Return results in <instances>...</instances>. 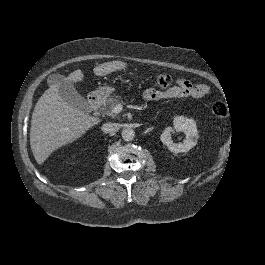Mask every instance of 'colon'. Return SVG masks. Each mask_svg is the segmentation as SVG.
Listing matches in <instances>:
<instances>
[{
  "label": "colon",
  "mask_w": 265,
  "mask_h": 265,
  "mask_svg": "<svg viewBox=\"0 0 265 265\" xmlns=\"http://www.w3.org/2000/svg\"><path fill=\"white\" fill-rule=\"evenodd\" d=\"M172 77L169 74H159L156 82L161 87H168L172 83ZM211 113L216 117H225L228 114V107L223 101H216L211 106Z\"/></svg>",
  "instance_id": "obj_1"
}]
</instances>
